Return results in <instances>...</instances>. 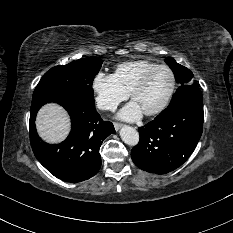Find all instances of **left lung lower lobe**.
<instances>
[{"mask_svg": "<svg viewBox=\"0 0 233 233\" xmlns=\"http://www.w3.org/2000/svg\"><path fill=\"white\" fill-rule=\"evenodd\" d=\"M203 119V100L199 92L139 127L140 141L131 151L134 164L156 174L175 170L194 151L203 131Z\"/></svg>", "mask_w": 233, "mask_h": 233, "instance_id": "1", "label": "left lung lower lobe"}]
</instances>
